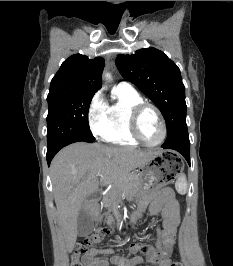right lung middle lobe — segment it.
<instances>
[{
    "mask_svg": "<svg viewBox=\"0 0 233 266\" xmlns=\"http://www.w3.org/2000/svg\"><path fill=\"white\" fill-rule=\"evenodd\" d=\"M93 96L92 93H78L47 99V151L80 140H95L88 123Z\"/></svg>",
    "mask_w": 233,
    "mask_h": 266,
    "instance_id": "obj_1",
    "label": "right lung middle lobe"
}]
</instances>
